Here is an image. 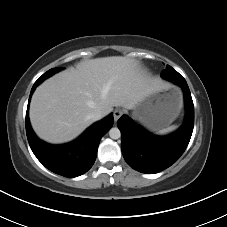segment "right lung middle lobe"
Wrapping results in <instances>:
<instances>
[{"instance_id": "1", "label": "right lung middle lobe", "mask_w": 227, "mask_h": 227, "mask_svg": "<svg viewBox=\"0 0 227 227\" xmlns=\"http://www.w3.org/2000/svg\"><path fill=\"white\" fill-rule=\"evenodd\" d=\"M62 69H63L62 67L52 68L49 71H47L46 73H44L37 81L42 82L45 79H47L48 77L52 76L53 74H55L56 72H59Z\"/></svg>"}]
</instances>
